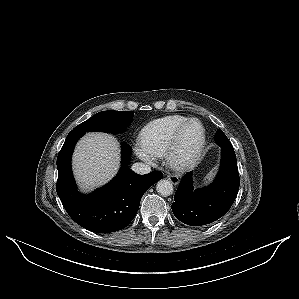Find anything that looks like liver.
Returning <instances> with one entry per match:
<instances>
[{
  "label": "liver",
  "mask_w": 299,
  "mask_h": 299,
  "mask_svg": "<svg viewBox=\"0 0 299 299\" xmlns=\"http://www.w3.org/2000/svg\"><path fill=\"white\" fill-rule=\"evenodd\" d=\"M120 166L117 140L106 133H87L73 154L76 180L84 190H93L110 181Z\"/></svg>",
  "instance_id": "liver-1"
}]
</instances>
